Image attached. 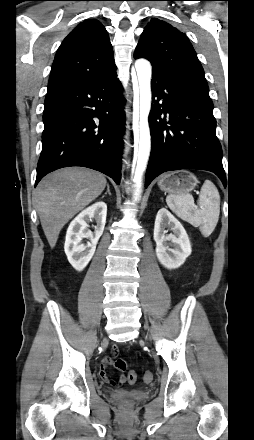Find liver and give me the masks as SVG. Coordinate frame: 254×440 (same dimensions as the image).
Masks as SVG:
<instances>
[{"mask_svg": "<svg viewBox=\"0 0 254 440\" xmlns=\"http://www.w3.org/2000/svg\"><path fill=\"white\" fill-rule=\"evenodd\" d=\"M103 174L83 167H67L45 176L35 192L36 209L51 248L64 225L94 201L106 187Z\"/></svg>", "mask_w": 254, "mask_h": 440, "instance_id": "liver-1", "label": "liver"}]
</instances>
